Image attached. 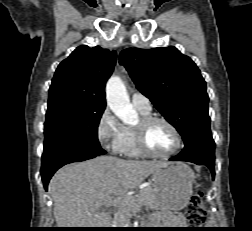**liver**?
<instances>
[{"instance_id":"obj_1","label":"liver","mask_w":252,"mask_h":231,"mask_svg":"<svg viewBox=\"0 0 252 231\" xmlns=\"http://www.w3.org/2000/svg\"><path fill=\"white\" fill-rule=\"evenodd\" d=\"M164 161L124 160L101 156L67 165L49 183L59 228H107L111 216L102 207L108 198L121 201L148 176L168 166Z\"/></svg>"}]
</instances>
